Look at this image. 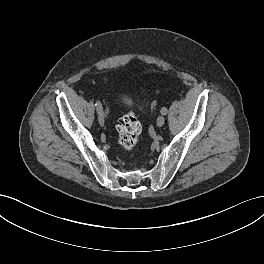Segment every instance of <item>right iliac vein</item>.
<instances>
[{
  "mask_svg": "<svg viewBox=\"0 0 264 264\" xmlns=\"http://www.w3.org/2000/svg\"><path fill=\"white\" fill-rule=\"evenodd\" d=\"M98 121H99L100 125H102V126L104 125L105 118H104L103 111L98 113Z\"/></svg>",
  "mask_w": 264,
  "mask_h": 264,
  "instance_id": "obj_1",
  "label": "right iliac vein"
}]
</instances>
